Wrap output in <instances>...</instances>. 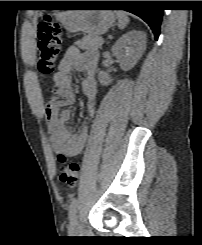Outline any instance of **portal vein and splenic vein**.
Masks as SVG:
<instances>
[{
  "instance_id": "18ae733b",
  "label": "portal vein and splenic vein",
  "mask_w": 202,
  "mask_h": 245,
  "mask_svg": "<svg viewBox=\"0 0 202 245\" xmlns=\"http://www.w3.org/2000/svg\"><path fill=\"white\" fill-rule=\"evenodd\" d=\"M101 41H102V43H104V39L103 38H101Z\"/></svg>"
}]
</instances>
